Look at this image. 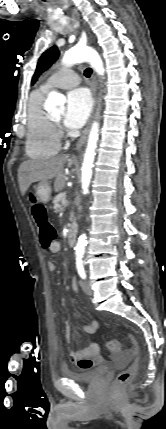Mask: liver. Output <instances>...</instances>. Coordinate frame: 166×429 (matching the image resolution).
<instances>
[{
	"label": "liver",
	"mask_w": 166,
	"mask_h": 429,
	"mask_svg": "<svg viewBox=\"0 0 166 429\" xmlns=\"http://www.w3.org/2000/svg\"><path fill=\"white\" fill-rule=\"evenodd\" d=\"M67 155L57 156L48 160H27L18 169V182L21 194L24 196L30 185L34 182L46 183L55 178V191H60L65 185L66 176L64 164Z\"/></svg>",
	"instance_id": "obj_1"
}]
</instances>
